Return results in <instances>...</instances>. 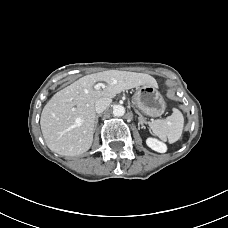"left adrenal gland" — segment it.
<instances>
[{"mask_svg":"<svg viewBox=\"0 0 228 228\" xmlns=\"http://www.w3.org/2000/svg\"><path fill=\"white\" fill-rule=\"evenodd\" d=\"M138 115H139V125L141 124V125H143V124H146L147 122H146V120L144 119V117L140 114V113H138ZM144 127V126H143Z\"/></svg>","mask_w":228,"mask_h":228,"instance_id":"a2214340","label":"left adrenal gland"}]
</instances>
